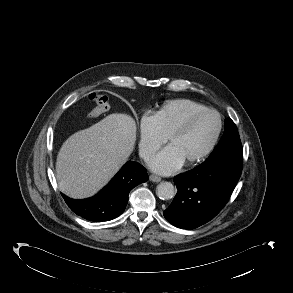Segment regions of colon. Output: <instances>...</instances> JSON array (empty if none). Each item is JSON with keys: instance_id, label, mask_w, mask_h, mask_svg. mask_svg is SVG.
Wrapping results in <instances>:
<instances>
[{"instance_id": "obj_1", "label": "colon", "mask_w": 293, "mask_h": 293, "mask_svg": "<svg viewBox=\"0 0 293 293\" xmlns=\"http://www.w3.org/2000/svg\"><path fill=\"white\" fill-rule=\"evenodd\" d=\"M89 100L93 103V108L88 113L90 118H95L105 113L110 105L108 97L99 92L89 94Z\"/></svg>"}]
</instances>
